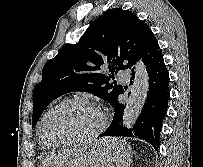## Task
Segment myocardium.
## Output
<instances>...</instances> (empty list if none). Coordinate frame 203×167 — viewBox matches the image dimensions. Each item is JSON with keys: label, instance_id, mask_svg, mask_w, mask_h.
<instances>
[{"label": "myocardium", "instance_id": "1", "mask_svg": "<svg viewBox=\"0 0 203 167\" xmlns=\"http://www.w3.org/2000/svg\"><path fill=\"white\" fill-rule=\"evenodd\" d=\"M71 103H82V104L88 105L93 110H95V112L99 116V124H98L97 128L95 130H93L92 132H90L89 134H87L83 137L77 138V139H71V140H66V141L49 140L46 137L45 132H44V125H45L47 118L49 117V115L51 113H53L57 109L61 108L64 105L71 104ZM105 125H106V116L103 113V111L99 108V106L95 102H93L91 99H89L88 97L82 96V95H77L74 97L63 99L62 101L58 102L56 105L51 107L43 115V117L41 118L40 123H39V137L44 144H48L51 146H69V145L88 142V141L95 139L102 133V131L105 128Z\"/></svg>", "mask_w": 203, "mask_h": 167}]
</instances>
